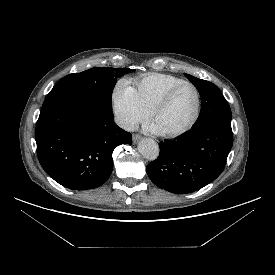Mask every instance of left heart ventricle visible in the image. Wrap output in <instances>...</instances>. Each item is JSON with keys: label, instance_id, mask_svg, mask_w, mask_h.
I'll list each match as a JSON object with an SVG mask.
<instances>
[{"label": "left heart ventricle", "instance_id": "obj_1", "mask_svg": "<svg viewBox=\"0 0 275 275\" xmlns=\"http://www.w3.org/2000/svg\"><path fill=\"white\" fill-rule=\"evenodd\" d=\"M196 94L190 86L180 87L168 105L155 117L154 123L162 132H173L184 127L193 117Z\"/></svg>", "mask_w": 275, "mask_h": 275}]
</instances>
